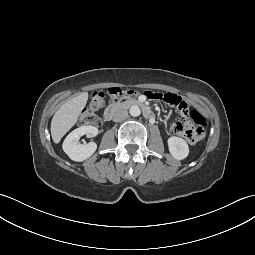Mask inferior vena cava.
<instances>
[{
    "label": "inferior vena cava",
    "mask_w": 255,
    "mask_h": 255,
    "mask_svg": "<svg viewBox=\"0 0 255 255\" xmlns=\"http://www.w3.org/2000/svg\"><path fill=\"white\" fill-rule=\"evenodd\" d=\"M128 117V111L122 108L115 110L113 113V121L120 122Z\"/></svg>",
    "instance_id": "1"
}]
</instances>
